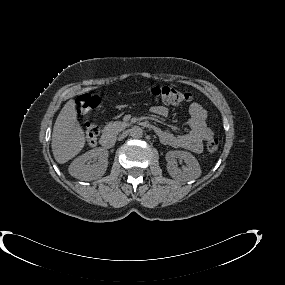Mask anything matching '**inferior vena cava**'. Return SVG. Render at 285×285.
<instances>
[{
  "label": "inferior vena cava",
  "instance_id": "inferior-vena-cava-1",
  "mask_svg": "<svg viewBox=\"0 0 285 285\" xmlns=\"http://www.w3.org/2000/svg\"><path fill=\"white\" fill-rule=\"evenodd\" d=\"M118 139L119 140H124L125 139V134L124 133H119L118 134Z\"/></svg>",
  "mask_w": 285,
  "mask_h": 285
}]
</instances>
